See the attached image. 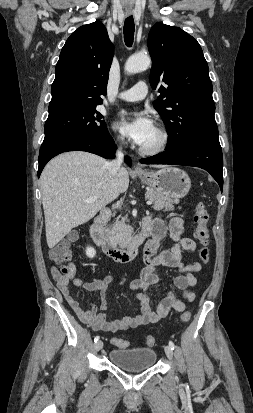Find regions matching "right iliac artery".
<instances>
[{"label":"right iliac artery","instance_id":"obj_1","mask_svg":"<svg viewBox=\"0 0 253 413\" xmlns=\"http://www.w3.org/2000/svg\"><path fill=\"white\" fill-rule=\"evenodd\" d=\"M99 340V336H96L95 338H94V342H97Z\"/></svg>","mask_w":253,"mask_h":413}]
</instances>
